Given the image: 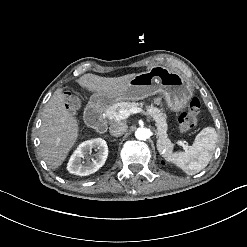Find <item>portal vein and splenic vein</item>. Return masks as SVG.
Listing matches in <instances>:
<instances>
[{
    "instance_id": "18ae733b",
    "label": "portal vein and splenic vein",
    "mask_w": 247,
    "mask_h": 247,
    "mask_svg": "<svg viewBox=\"0 0 247 247\" xmlns=\"http://www.w3.org/2000/svg\"><path fill=\"white\" fill-rule=\"evenodd\" d=\"M141 109L137 108V107H132L130 109H124L120 111V119H127L131 114H136L138 112H140ZM178 144L181 145L182 148H186L187 144L185 140H179Z\"/></svg>"
}]
</instances>
